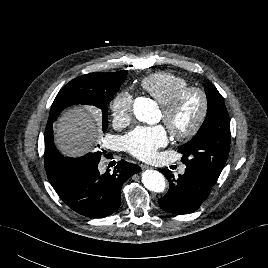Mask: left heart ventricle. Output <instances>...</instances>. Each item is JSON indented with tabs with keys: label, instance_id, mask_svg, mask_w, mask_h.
<instances>
[{
	"label": "left heart ventricle",
	"instance_id": "left-heart-ventricle-1",
	"mask_svg": "<svg viewBox=\"0 0 268 268\" xmlns=\"http://www.w3.org/2000/svg\"><path fill=\"white\" fill-rule=\"evenodd\" d=\"M200 111V98L197 94H188L180 104L173 116L170 127L175 131H184L194 122ZM160 120L163 121V114H160Z\"/></svg>",
	"mask_w": 268,
	"mask_h": 268
}]
</instances>
